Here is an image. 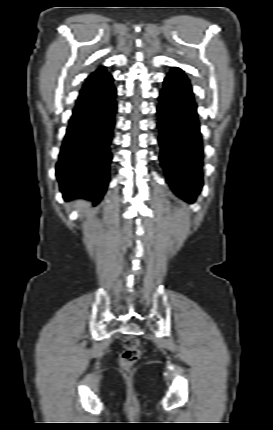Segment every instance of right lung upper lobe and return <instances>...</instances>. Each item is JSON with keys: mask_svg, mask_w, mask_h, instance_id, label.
Instances as JSON below:
<instances>
[{"mask_svg": "<svg viewBox=\"0 0 273 430\" xmlns=\"http://www.w3.org/2000/svg\"><path fill=\"white\" fill-rule=\"evenodd\" d=\"M109 74L106 72L105 67H100L98 68L95 72H93L91 75H89V77L86 79V82L84 84V87L82 88L81 92H80V96L82 95L83 91H85V89L87 88V85L95 80H99L102 79L106 76H108Z\"/></svg>", "mask_w": 273, "mask_h": 430, "instance_id": "obj_1", "label": "right lung upper lobe"}]
</instances>
